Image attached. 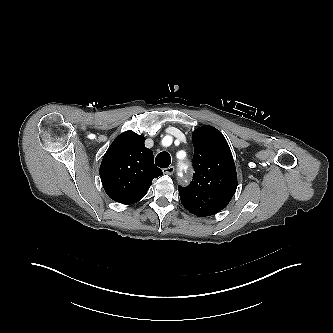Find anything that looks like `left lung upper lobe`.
Wrapping results in <instances>:
<instances>
[{
  "label": "left lung upper lobe",
  "instance_id": "left-lung-upper-lobe-1",
  "mask_svg": "<svg viewBox=\"0 0 333 333\" xmlns=\"http://www.w3.org/2000/svg\"><path fill=\"white\" fill-rule=\"evenodd\" d=\"M193 181L178 187L182 205L197 216H209L223 210L237 188V173L229 145L223 134L212 126H203L193 134Z\"/></svg>",
  "mask_w": 333,
  "mask_h": 333
}]
</instances>
